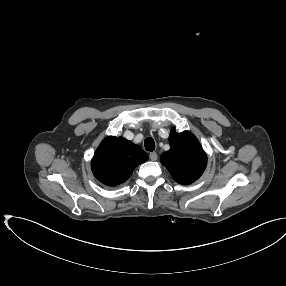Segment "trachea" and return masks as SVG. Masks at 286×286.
<instances>
[{
	"instance_id": "1",
	"label": "trachea",
	"mask_w": 286,
	"mask_h": 286,
	"mask_svg": "<svg viewBox=\"0 0 286 286\" xmlns=\"http://www.w3.org/2000/svg\"><path fill=\"white\" fill-rule=\"evenodd\" d=\"M144 146L147 151L152 152L155 150V142L151 137L145 139Z\"/></svg>"
}]
</instances>
